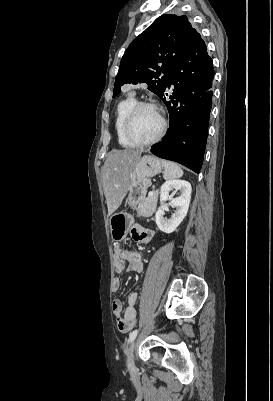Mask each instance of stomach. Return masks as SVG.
Returning <instances> with one entry per match:
<instances>
[{
    "label": "stomach",
    "mask_w": 273,
    "mask_h": 401,
    "mask_svg": "<svg viewBox=\"0 0 273 401\" xmlns=\"http://www.w3.org/2000/svg\"><path fill=\"white\" fill-rule=\"evenodd\" d=\"M162 170V162L156 156L144 154L139 158L135 168L130 172V184L126 203L132 209H137L144 198H146L148 186H150L151 176L159 174ZM110 233L112 241H124L132 227L134 217L129 213H115L109 219Z\"/></svg>",
    "instance_id": "obj_1"
}]
</instances>
